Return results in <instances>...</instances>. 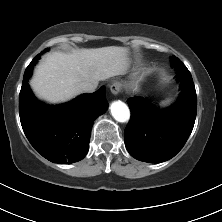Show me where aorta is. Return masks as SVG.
Returning a JSON list of instances; mask_svg holds the SVG:
<instances>
[{
  "mask_svg": "<svg viewBox=\"0 0 222 222\" xmlns=\"http://www.w3.org/2000/svg\"><path fill=\"white\" fill-rule=\"evenodd\" d=\"M113 118L118 122H128L130 119V110L122 101H114L110 106Z\"/></svg>",
  "mask_w": 222,
  "mask_h": 222,
  "instance_id": "obj_1",
  "label": "aorta"
}]
</instances>
